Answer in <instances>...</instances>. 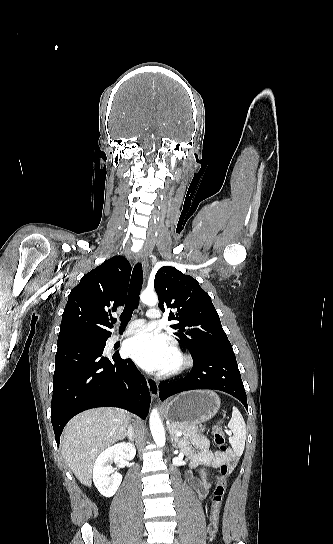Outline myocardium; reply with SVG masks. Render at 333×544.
Segmentation results:
<instances>
[{
  "mask_svg": "<svg viewBox=\"0 0 333 544\" xmlns=\"http://www.w3.org/2000/svg\"><path fill=\"white\" fill-rule=\"evenodd\" d=\"M172 355L174 356V364L164 370V375L167 377L182 374L192 366V359L189 355L183 352L179 347L172 346Z\"/></svg>",
  "mask_w": 333,
  "mask_h": 544,
  "instance_id": "1",
  "label": "myocardium"
}]
</instances>
